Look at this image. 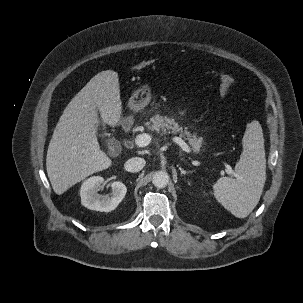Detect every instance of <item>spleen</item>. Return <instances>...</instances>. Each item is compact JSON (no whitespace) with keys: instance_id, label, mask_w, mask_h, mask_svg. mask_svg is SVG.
Masks as SVG:
<instances>
[{"instance_id":"obj_1","label":"spleen","mask_w":303,"mask_h":303,"mask_svg":"<svg viewBox=\"0 0 303 303\" xmlns=\"http://www.w3.org/2000/svg\"><path fill=\"white\" fill-rule=\"evenodd\" d=\"M242 146L235 165L238 178L222 177L213 185L218 202L238 218L247 217L256 207L266 180L264 138L258 121L247 125Z\"/></svg>"}]
</instances>
